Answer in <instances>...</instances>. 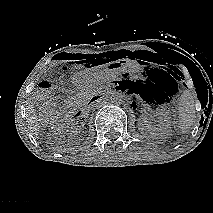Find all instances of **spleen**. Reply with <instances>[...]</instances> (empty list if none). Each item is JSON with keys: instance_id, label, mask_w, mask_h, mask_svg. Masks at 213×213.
<instances>
[{"instance_id": "1", "label": "spleen", "mask_w": 213, "mask_h": 213, "mask_svg": "<svg viewBox=\"0 0 213 213\" xmlns=\"http://www.w3.org/2000/svg\"><path fill=\"white\" fill-rule=\"evenodd\" d=\"M195 102L189 91H184L179 102L178 129L180 133L190 131L195 123Z\"/></svg>"}]
</instances>
